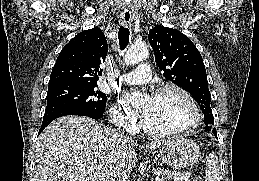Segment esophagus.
Listing matches in <instances>:
<instances>
[{"label": "esophagus", "mask_w": 259, "mask_h": 181, "mask_svg": "<svg viewBox=\"0 0 259 181\" xmlns=\"http://www.w3.org/2000/svg\"><path fill=\"white\" fill-rule=\"evenodd\" d=\"M122 19L125 24H129L131 22L132 16L130 13H124L122 15Z\"/></svg>", "instance_id": "34e87169"}]
</instances>
